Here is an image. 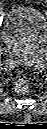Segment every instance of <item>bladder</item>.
<instances>
[{"label": "bladder", "mask_w": 47, "mask_h": 129, "mask_svg": "<svg viewBox=\"0 0 47 129\" xmlns=\"http://www.w3.org/2000/svg\"><path fill=\"white\" fill-rule=\"evenodd\" d=\"M46 33L43 11L34 5H19L6 15L2 39L11 48H27L41 43Z\"/></svg>", "instance_id": "obj_1"}]
</instances>
